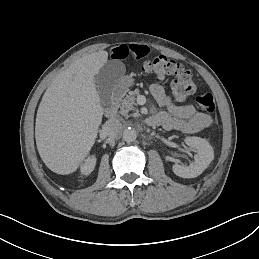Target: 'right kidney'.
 Returning a JSON list of instances; mask_svg holds the SVG:
<instances>
[{
	"instance_id": "ca27d5eb",
	"label": "right kidney",
	"mask_w": 259,
	"mask_h": 259,
	"mask_svg": "<svg viewBox=\"0 0 259 259\" xmlns=\"http://www.w3.org/2000/svg\"><path fill=\"white\" fill-rule=\"evenodd\" d=\"M94 164H95V160L93 158L92 159H88L87 163L82 166L83 174L84 175L89 174L93 170Z\"/></svg>"
}]
</instances>
